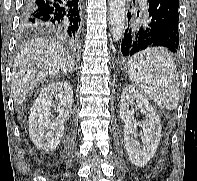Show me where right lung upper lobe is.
<instances>
[{"label": "right lung upper lobe", "instance_id": "cb5924a9", "mask_svg": "<svg viewBox=\"0 0 197 181\" xmlns=\"http://www.w3.org/2000/svg\"><path fill=\"white\" fill-rule=\"evenodd\" d=\"M26 29L33 30V31H38V30H44L45 28L40 27V26H33V27H30V28H26Z\"/></svg>", "mask_w": 197, "mask_h": 181}]
</instances>
